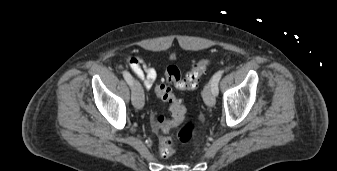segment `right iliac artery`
Returning <instances> with one entry per match:
<instances>
[{"label": "right iliac artery", "instance_id": "1", "mask_svg": "<svg viewBox=\"0 0 337 171\" xmlns=\"http://www.w3.org/2000/svg\"><path fill=\"white\" fill-rule=\"evenodd\" d=\"M123 77H124V79L126 80V82H127L130 86H132L133 79H132L131 74H130L128 71H124V72H123Z\"/></svg>", "mask_w": 337, "mask_h": 171}]
</instances>
